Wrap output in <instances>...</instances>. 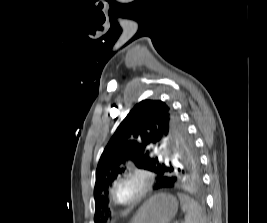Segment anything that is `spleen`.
Listing matches in <instances>:
<instances>
[{
    "instance_id": "spleen-1",
    "label": "spleen",
    "mask_w": 267,
    "mask_h": 223,
    "mask_svg": "<svg viewBox=\"0 0 267 223\" xmlns=\"http://www.w3.org/2000/svg\"><path fill=\"white\" fill-rule=\"evenodd\" d=\"M183 212H186L185 223H206L204 211L199 204L185 194H178Z\"/></svg>"
}]
</instances>
